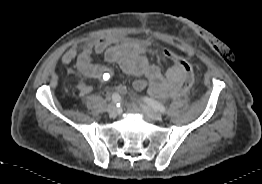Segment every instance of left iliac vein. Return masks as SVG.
<instances>
[{"instance_id":"left-iliac-vein-1","label":"left iliac vein","mask_w":262,"mask_h":184,"mask_svg":"<svg viewBox=\"0 0 262 184\" xmlns=\"http://www.w3.org/2000/svg\"><path fill=\"white\" fill-rule=\"evenodd\" d=\"M144 112L149 116L151 120L159 121L162 119V115L159 112H156L152 110L151 108L144 106L143 107Z\"/></svg>"}]
</instances>
